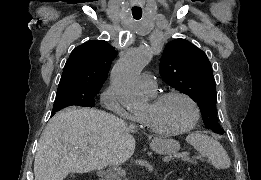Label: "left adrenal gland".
<instances>
[{"mask_svg": "<svg viewBox=\"0 0 261 180\" xmlns=\"http://www.w3.org/2000/svg\"><path fill=\"white\" fill-rule=\"evenodd\" d=\"M168 176H169V174H165L164 180H167Z\"/></svg>", "mask_w": 261, "mask_h": 180, "instance_id": "obj_1", "label": "left adrenal gland"}]
</instances>
